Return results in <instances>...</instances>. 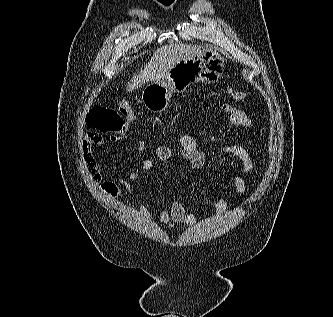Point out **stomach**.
Listing matches in <instances>:
<instances>
[{"instance_id": "stomach-1", "label": "stomach", "mask_w": 333, "mask_h": 317, "mask_svg": "<svg viewBox=\"0 0 333 317\" xmlns=\"http://www.w3.org/2000/svg\"><path fill=\"white\" fill-rule=\"evenodd\" d=\"M224 67V58L213 50L182 60L168 71L165 79L155 80L144 88L142 102L148 110L162 112L173 92H184L193 82L214 81Z\"/></svg>"}]
</instances>
